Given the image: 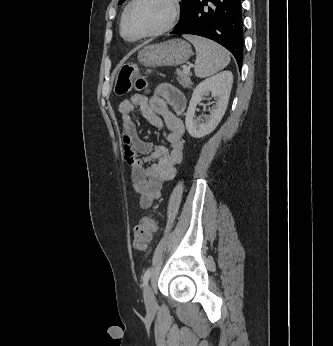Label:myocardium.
<instances>
[{
    "label": "myocardium",
    "mask_w": 333,
    "mask_h": 346,
    "mask_svg": "<svg viewBox=\"0 0 333 346\" xmlns=\"http://www.w3.org/2000/svg\"><path fill=\"white\" fill-rule=\"evenodd\" d=\"M171 7V17L169 22L162 27L161 29L150 32V33H144L139 35H130L126 31V20L128 18V15L130 14L133 7L139 2V0H131V2L126 7V10L122 16L121 23H120V30L121 34L124 38L129 40H137V39H144V38H151V37H157L162 34H165L166 32L170 31L174 28V26L177 24L179 16H180V0H167Z\"/></svg>",
    "instance_id": "myocardium-1"
}]
</instances>
